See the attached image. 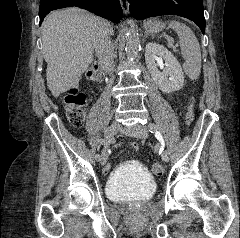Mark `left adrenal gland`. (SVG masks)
I'll list each match as a JSON object with an SVG mask.
<instances>
[{
    "instance_id": "a2214340",
    "label": "left adrenal gland",
    "mask_w": 240,
    "mask_h": 238,
    "mask_svg": "<svg viewBox=\"0 0 240 238\" xmlns=\"http://www.w3.org/2000/svg\"><path fill=\"white\" fill-rule=\"evenodd\" d=\"M149 35H151L153 37V35L148 33V32H145V36L144 37L147 38Z\"/></svg>"
}]
</instances>
